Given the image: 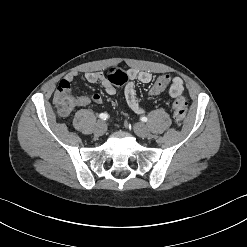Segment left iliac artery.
Wrapping results in <instances>:
<instances>
[{
	"mask_svg": "<svg viewBox=\"0 0 247 247\" xmlns=\"http://www.w3.org/2000/svg\"><path fill=\"white\" fill-rule=\"evenodd\" d=\"M147 117H141V121H143V122H147Z\"/></svg>",
	"mask_w": 247,
	"mask_h": 247,
	"instance_id": "44dca946",
	"label": "left iliac artery"
}]
</instances>
